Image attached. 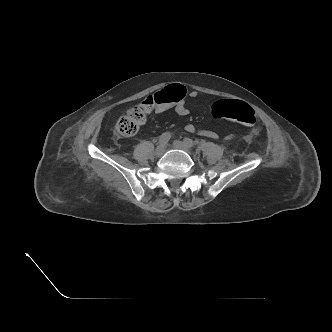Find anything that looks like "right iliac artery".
Wrapping results in <instances>:
<instances>
[{
  "label": "right iliac artery",
  "mask_w": 332,
  "mask_h": 332,
  "mask_svg": "<svg viewBox=\"0 0 332 332\" xmlns=\"http://www.w3.org/2000/svg\"><path fill=\"white\" fill-rule=\"evenodd\" d=\"M171 138V133L170 132H165L163 133L160 138H159V143L160 144H166Z\"/></svg>",
  "instance_id": "1"
}]
</instances>
